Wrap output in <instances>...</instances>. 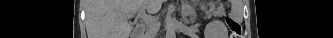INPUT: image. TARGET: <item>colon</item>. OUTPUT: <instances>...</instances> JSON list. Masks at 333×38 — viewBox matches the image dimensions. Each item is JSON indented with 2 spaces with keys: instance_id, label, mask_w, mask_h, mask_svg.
Instances as JSON below:
<instances>
[{
  "instance_id": "obj_1",
  "label": "colon",
  "mask_w": 333,
  "mask_h": 38,
  "mask_svg": "<svg viewBox=\"0 0 333 38\" xmlns=\"http://www.w3.org/2000/svg\"><path fill=\"white\" fill-rule=\"evenodd\" d=\"M225 21L231 31V38H242V27L240 22L231 16H227Z\"/></svg>"
}]
</instances>
